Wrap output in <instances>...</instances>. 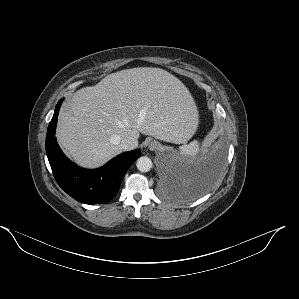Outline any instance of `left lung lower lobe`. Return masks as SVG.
I'll use <instances>...</instances> for the list:
<instances>
[{
    "label": "left lung lower lobe",
    "instance_id": "1",
    "mask_svg": "<svg viewBox=\"0 0 299 299\" xmlns=\"http://www.w3.org/2000/svg\"><path fill=\"white\" fill-rule=\"evenodd\" d=\"M223 158L224 151L218 150L196 161L184 175L186 181L191 184V190L202 193L210 189L220 174ZM166 173L171 174L172 172L168 170Z\"/></svg>",
    "mask_w": 299,
    "mask_h": 299
}]
</instances>
